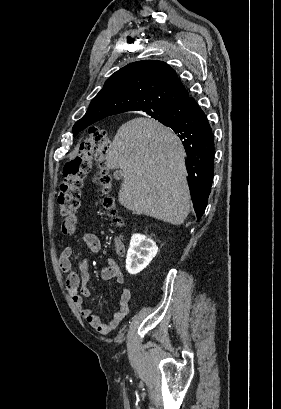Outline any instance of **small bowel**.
<instances>
[{"label":"small bowel","instance_id":"c3829d8e","mask_svg":"<svg viewBox=\"0 0 281 409\" xmlns=\"http://www.w3.org/2000/svg\"><path fill=\"white\" fill-rule=\"evenodd\" d=\"M78 225V218L74 216L71 219L64 221L62 231L66 235L74 234ZM83 244H85L92 253H98L101 249V244L97 236L93 233L87 232L81 236ZM73 249L66 247L62 250L59 257L60 268L67 274L66 288L69 291L74 305L80 310L85 320L94 327L101 334H108L115 329L118 324L123 321L129 312V305L131 301V291L127 287H122L119 292V304L108 322H103L101 318L96 315L92 309L84 307L85 299L91 297V291L87 287L90 279L88 271V262L83 260L79 263L80 273L73 270L72 264ZM101 278L103 280L114 279L118 284H124L125 276L121 271L119 265L112 259L108 258L107 265L101 271Z\"/></svg>","mask_w":281,"mask_h":409}]
</instances>
